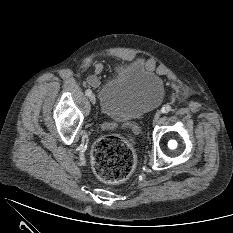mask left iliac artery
<instances>
[{"label": "left iliac artery", "instance_id": "obj_1", "mask_svg": "<svg viewBox=\"0 0 233 233\" xmlns=\"http://www.w3.org/2000/svg\"><path fill=\"white\" fill-rule=\"evenodd\" d=\"M171 111V106L170 105H165L162 107L161 112L162 113H168Z\"/></svg>", "mask_w": 233, "mask_h": 233}]
</instances>
